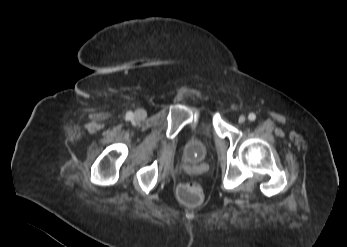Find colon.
Returning <instances> with one entry per match:
<instances>
[{
  "instance_id": "colon-1",
  "label": "colon",
  "mask_w": 347,
  "mask_h": 247,
  "mask_svg": "<svg viewBox=\"0 0 347 247\" xmlns=\"http://www.w3.org/2000/svg\"><path fill=\"white\" fill-rule=\"evenodd\" d=\"M179 196L183 203L190 206H197L203 201V188L198 182H187L181 185Z\"/></svg>"
}]
</instances>
